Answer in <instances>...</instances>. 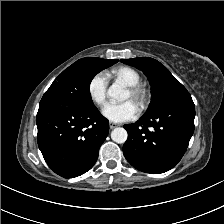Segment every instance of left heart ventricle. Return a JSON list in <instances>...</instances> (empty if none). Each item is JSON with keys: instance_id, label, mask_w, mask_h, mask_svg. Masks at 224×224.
Here are the masks:
<instances>
[{"instance_id": "obj_1", "label": "left heart ventricle", "mask_w": 224, "mask_h": 224, "mask_svg": "<svg viewBox=\"0 0 224 224\" xmlns=\"http://www.w3.org/2000/svg\"><path fill=\"white\" fill-rule=\"evenodd\" d=\"M124 100H132L130 93L128 90H126L125 95H124ZM133 101V100H132Z\"/></svg>"}]
</instances>
